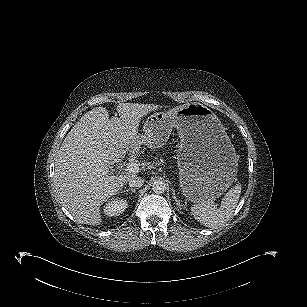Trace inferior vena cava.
<instances>
[{
    "label": "inferior vena cava",
    "mask_w": 307,
    "mask_h": 307,
    "mask_svg": "<svg viewBox=\"0 0 307 307\" xmlns=\"http://www.w3.org/2000/svg\"><path fill=\"white\" fill-rule=\"evenodd\" d=\"M128 184L131 188H138L141 187L144 184V179L138 176H133L130 179H128Z\"/></svg>",
    "instance_id": "1"
}]
</instances>
